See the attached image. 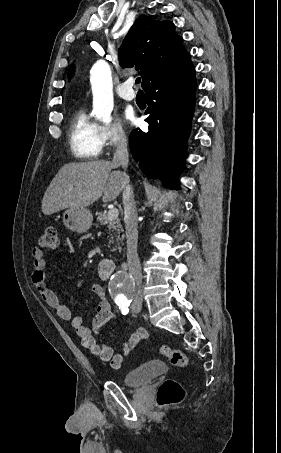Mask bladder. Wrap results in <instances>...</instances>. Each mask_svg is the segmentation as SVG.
Returning a JSON list of instances; mask_svg holds the SVG:
<instances>
[{
	"mask_svg": "<svg viewBox=\"0 0 281 453\" xmlns=\"http://www.w3.org/2000/svg\"><path fill=\"white\" fill-rule=\"evenodd\" d=\"M166 371L167 365L163 361H149L126 373L123 377V383L129 387H137L151 381Z\"/></svg>",
	"mask_w": 281,
	"mask_h": 453,
	"instance_id": "obj_1",
	"label": "bladder"
}]
</instances>
